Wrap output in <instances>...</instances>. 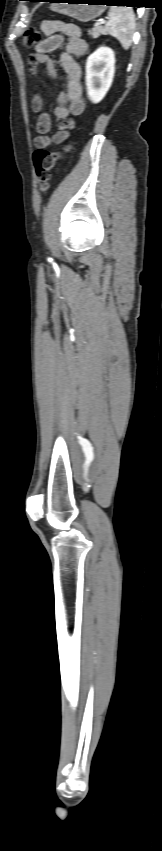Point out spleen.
Segmentation results:
<instances>
[{
	"mask_svg": "<svg viewBox=\"0 0 162 851\" xmlns=\"http://www.w3.org/2000/svg\"><path fill=\"white\" fill-rule=\"evenodd\" d=\"M109 20L105 25L106 33L119 40L122 47L127 50L132 43V33L135 28V18L132 8L110 7Z\"/></svg>",
	"mask_w": 162,
	"mask_h": 851,
	"instance_id": "3e777b00",
	"label": "spleen"
}]
</instances>
